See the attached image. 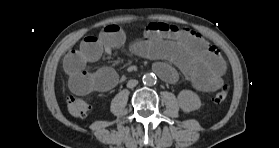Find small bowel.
I'll list each match as a JSON object with an SVG mask.
<instances>
[{"mask_svg":"<svg viewBox=\"0 0 279 148\" xmlns=\"http://www.w3.org/2000/svg\"><path fill=\"white\" fill-rule=\"evenodd\" d=\"M123 29L110 24L96 36L85 37L78 48L68 51L63 59V69L68 76L72 92L85 95L92 91L111 90L119 80L116 71L103 67L95 73L86 70L98 61L103 53L124 45ZM130 51L140 57L156 60L154 71L166 82L178 79L175 65L199 90L212 92L223 84L226 64L219 51L199 33L162 22L146 26L142 37L130 46Z\"/></svg>","mask_w":279,"mask_h":148,"instance_id":"obj_1","label":"small bowel"}]
</instances>
